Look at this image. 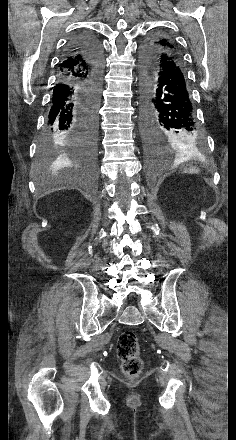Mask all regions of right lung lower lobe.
Segmentation results:
<instances>
[{"label": "right lung lower lobe", "instance_id": "1", "mask_svg": "<svg viewBox=\"0 0 236 440\" xmlns=\"http://www.w3.org/2000/svg\"><path fill=\"white\" fill-rule=\"evenodd\" d=\"M77 55H81L87 64L88 77L85 80L59 79L53 88L45 138L55 137L65 143L72 142L81 157L89 163L96 153L97 122L94 126L92 112L97 109L86 94V86L94 85L101 90L104 56L99 40L88 32L71 40L60 67L66 58L72 59ZM89 131H93L91 141L86 137Z\"/></svg>", "mask_w": 236, "mask_h": 440}]
</instances>
